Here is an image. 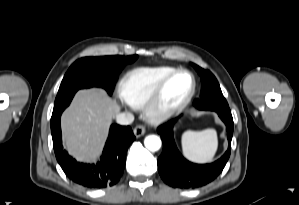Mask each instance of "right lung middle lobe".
<instances>
[{
	"instance_id": "right-lung-middle-lobe-1",
	"label": "right lung middle lobe",
	"mask_w": 299,
	"mask_h": 205,
	"mask_svg": "<svg viewBox=\"0 0 299 205\" xmlns=\"http://www.w3.org/2000/svg\"><path fill=\"white\" fill-rule=\"evenodd\" d=\"M138 56L85 57L74 62L65 74L55 99L54 109L70 102L82 88L93 86L112 93L115 80L121 68L132 63Z\"/></svg>"
}]
</instances>
